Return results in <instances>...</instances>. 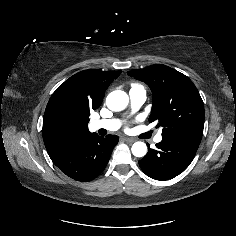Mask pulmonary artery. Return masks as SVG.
Segmentation results:
<instances>
[{"mask_svg":"<svg viewBox=\"0 0 236 236\" xmlns=\"http://www.w3.org/2000/svg\"><path fill=\"white\" fill-rule=\"evenodd\" d=\"M130 101L132 104L133 109H137L144 104L147 99V92L142 86H135L132 87L129 91ZM119 121L116 119L110 120H94L91 123V127L93 130H108V131H115L119 128ZM162 135L159 133L156 135L154 141L156 143L161 142Z\"/></svg>","mask_w":236,"mask_h":236,"instance_id":"pulmonary-artery-1","label":"pulmonary artery"}]
</instances>
